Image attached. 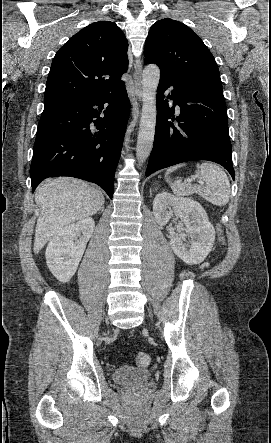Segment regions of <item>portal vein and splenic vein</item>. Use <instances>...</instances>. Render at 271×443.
Listing matches in <instances>:
<instances>
[{
  "label": "portal vein and splenic vein",
  "mask_w": 271,
  "mask_h": 443,
  "mask_svg": "<svg viewBox=\"0 0 271 443\" xmlns=\"http://www.w3.org/2000/svg\"><path fill=\"white\" fill-rule=\"evenodd\" d=\"M188 182H195V178H190V180H188ZM199 184H203V182H201V180H199Z\"/></svg>",
  "instance_id": "obj_1"
}]
</instances>
